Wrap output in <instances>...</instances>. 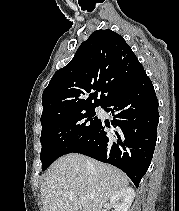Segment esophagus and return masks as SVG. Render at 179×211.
<instances>
[{"mask_svg": "<svg viewBox=\"0 0 179 211\" xmlns=\"http://www.w3.org/2000/svg\"><path fill=\"white\" fill-rule=\"evenodd\" d=\"M109 140H110V141H113V140H114V137H113V136H110V137H109Z\"/></svg>", "mask_w": 179, "mask_h": 211, "instance_id": "obj_1", "label": "esophagus"}]
</instances>
